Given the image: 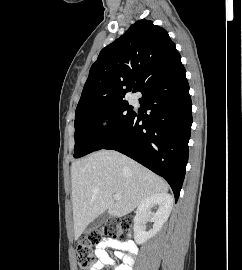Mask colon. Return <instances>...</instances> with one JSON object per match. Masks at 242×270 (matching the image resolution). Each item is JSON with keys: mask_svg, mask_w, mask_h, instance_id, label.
<instances>
[{"mask_svg": "<svg viewBox=\"0 0 242 270\" xmlns=\"http://www.w3.org/2000/svg\"><path fill=\"white\" fill-rule=\"evenodd\" d=\"M131 223L127 220H110L102 228L91 231L76 245L77 266L79 270H92L95 263L94 246L104 239H121L128 236Z\"/></svg>", "mask_w": 242, "mask_h": 270, "instance_id": "colon-1", "label": "colon"}]
</instances>
